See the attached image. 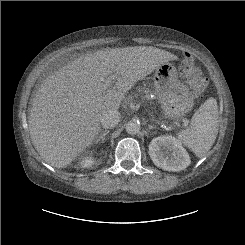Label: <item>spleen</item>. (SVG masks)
I'll return each instance as SVG.
<instances>
[{
  "label": "spleen",
  "instance_id": "1",
  "mask_svg": "<svg viewBox=\"0 0 245 245\" xmlns=\"http://www.w3.org/2000/svg\"><path fill=\"white\" fill-rule=\"evenodd\" d=\"M218 133V105L214 98L207 99L194 113L189 128L180 131L177 138L198 157H203L215 142Z\"/></svg>",
  "mask_w": 245,
  "mask_h": 245
}]
</instances>
